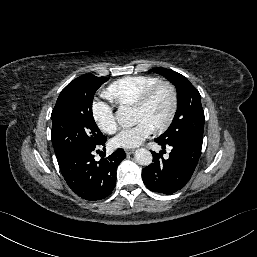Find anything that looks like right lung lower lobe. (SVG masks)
I'll list each match as a JSON object with an SVG mask.
<instances>
[{"label":"right lung lower lobe","mask_w":257,"mask_h":257,"mask_svg":"<svg viewBox=\"0 0 257 257\" xmlns=\"http://www.w3.org/2000/svg\"><path fill=\"white\" fill-rule=\"evenodd\" d=\"M105 141L100 145H104ZM74 150L57 160L61 173L74 193L83 199L96 201L109 196L116 184V170L126 157L122 148L100 161L93 151Z\"/></svg>","instance_id":"obj_1"}]
</instances>
